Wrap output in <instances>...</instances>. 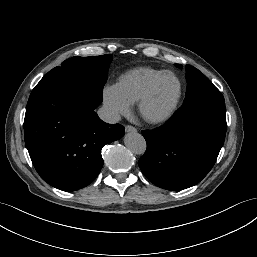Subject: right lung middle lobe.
<instances>
[{
  "label": "right lung middle lobe",
  "instance_id": "right-lung-middle-lobe-1",
  "mask_svg": "<svg viewBox=\"0 0 257 257\" xmlns=\"http://www.w3.org/2000/svg\"><path fill=\"white\" fill-rule=\"evenodd\" d=\"M111 61V54L94 57H73L48 72L32 92L60 85L80 83L92 89L97 96L102 97Z\"/></svg>",
  "mask_w": 257,
  "mask_h": 257
}]
</instances>
